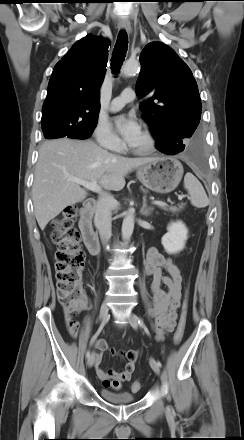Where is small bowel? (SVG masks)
Segmentation results:
<instances>
[{"label":"small bowel","instance_id":"small-bowel-1","mask_svg":"<svg viewBox=\"0 0 244 440\" xmlns=\"http://www.w3.org/2000/svg\"><path fill=\"white\" fill-rule=\"evenodd\" d=\"M163 271H166L168 275H164ZM145 272L152 278L150 315L155 318L154 332L156 339L161 340L166 334L172 332L176 326L182 290L181 271L172 259L165 257L155 247H151L146 254ZM65 323L69 334L76 337L78 323L75 320L71 321L68 317H65ZM94 346L98 350L94 354L95 370L102 382L107 379H116L121 383L131 380L139 356L137 350L116 351L109 348L104 339L96 340ZM106 351L126 360L123 370H104L101 367L103 354Z\"/></svg>","mask_w":244,"mask_h":440}]
</instances>
